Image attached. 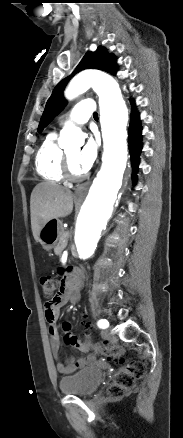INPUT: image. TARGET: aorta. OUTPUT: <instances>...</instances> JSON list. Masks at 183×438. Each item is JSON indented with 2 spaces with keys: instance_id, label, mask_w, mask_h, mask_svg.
Returning <instances> with one entry per match:
<instances>
[{
  "instance_id": "762f6f07",
  "label": "aorta",
  "mask_w": 183,
  "mask_h": 438,
  "mask_svg": "<svg viewBox=\"0 0 183 438\" xmlns=\"http://www.w3.org/2000/svg\"><path fill=\"white\" fill-rule=\"evenodd\" d=\"M92 87L99 95L100 122L104 142L102 166L94 179L81 207L75 225L77 255L86 260L93 256L99 239L111 217L127 162L128 109L118 83L110 76L84 71L77 74L65 90L73 99ZM78 129L67 123L59 138L61 147L67 146Z\"/></svg>"
}]
</instances>
